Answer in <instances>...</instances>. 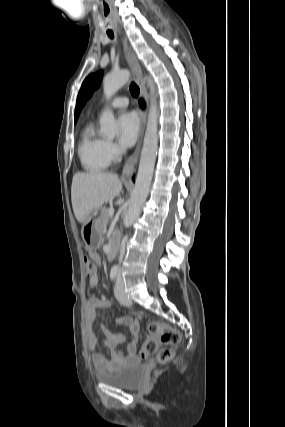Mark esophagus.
Masks as SVG:
<instances>
[{"label":"esophagus","instance_id":"34e87169","mask_svg":"<svg viewBox=\"0 0 285 427\" xmlns=\"http://www.w3.org/2000/svg\"><path fill=\"white\" fill-rule=\"evenodd\" d=\"M122 42H123V52H124L127 64L132 71L133 78H134L136 84L140 88L141 96L144 99H146L147 91H146V87H145V84H144L143 79H142V71H141L140 64H139L138 60L135 58V56L133 55V53L131 52L130 48L128 47V44H127L125 37H123ZM145 126H146V114L143 111V109H141L140 110V129H139V134H138V138H137V144H136L134 152L129 156V158L127 159V161L123 167V170H122V178L123 179L128 178L129 172L133 170V167L139 158L141 146H142V142H143Z\"/></svg>","mask_w":285,"mask_h":427}]
</instances>
